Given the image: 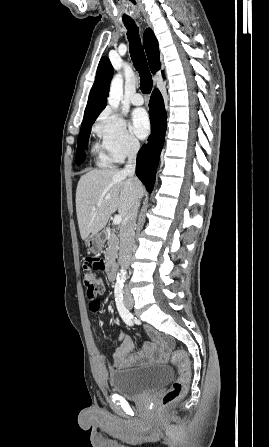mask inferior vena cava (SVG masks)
Masks as SVG:
<instances>
[{
  "instance_id": "obj_1",
  "label": "inferior vena cava",
  "mask_w": 269,
  "mask_h": 447,
  "mask_svg": "<svg viewBox=\"0 0 269 447\" xmlns=\"http://www.w3.org/2000/svg\"><path fill=\"white\" fill-rule=\"evenodd\" d=\"M140 144L138 140H134L130 146L128 152V162L122 170L126 176H134L136 168V156L139 152ZM140 206V200H136L133 208H131L129 214L124 218L120 227V249H119V263L123 269H127L130 263V257L133 251L135 225L137 220V214ZM125 297H129L128 287H125Z\"/></svg>"
}]
</instances>
